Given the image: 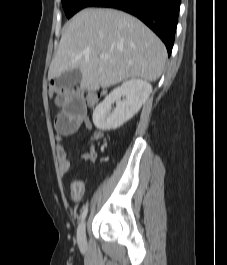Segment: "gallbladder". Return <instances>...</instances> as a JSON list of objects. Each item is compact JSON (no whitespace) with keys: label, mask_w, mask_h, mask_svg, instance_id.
I'll return each instance as SVG.
<instances>
[{"label":"gallbladder","mask_w":227,"mask_h":265,"mask_svg":"<svg viewBox=\"0 0 227 265\" xmlns=\"http://www.w3.org/2000/svg\"><path fill=\"white\" fill-rule=\"evenodd\" d=\"M82 74L78 68L59 75L56 79L57 85L63 88H70L80 83Z\"/></svg>","instance_id":"1"}]
</instances>
